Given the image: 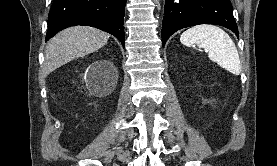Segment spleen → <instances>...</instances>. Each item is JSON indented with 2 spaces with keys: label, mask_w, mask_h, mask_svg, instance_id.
Segmentation results:
<instances>
[{
  "label": "spleen",
  "mask_w": 277,
  "mask_h": 166,
  "mask_svg": "<svg viewBox=\"0 0 277 166\" xmlns=\"http://www.w3.org/2000/svg\"><path fill=\"white\" fill-rule=\"evenodd\" d=\"M180 41L187 47L197 44L208 50V57L232 74L241 72L240 58L233 40L220 27L202 24L182 33Z\"/></svg>",
  "instance_id": "spleen-1"
}]
</instances>
